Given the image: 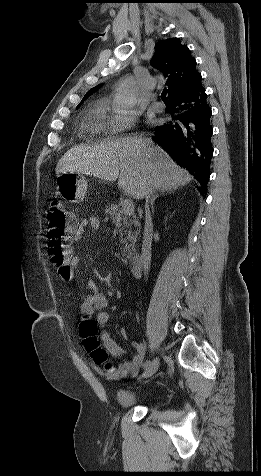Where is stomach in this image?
I'll list each match as a JSON object with an SVG mask.
<instances>
[{
	"mask_svg": "<svg viewBox=\"0 0 261 476\" xmlns=\"http://www.w3.org/2000/svg\"><path fill=\"white\" fill-rule=\"evenodd\" d=\"M56 182L62 197L70 202L83 201L87 195L88 184L80 173H61L57 176Z\"/></svg>",
	"mask_w": 261,
	"mask_h": 476,
	"instance_id": "stomach-1",
	"label": "stomach"
}]
</instances>
